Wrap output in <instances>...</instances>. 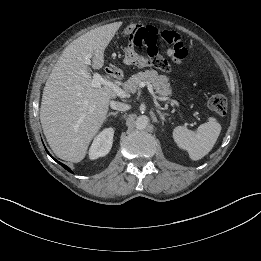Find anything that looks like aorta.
Returning <instances> with one entry per match:
<instances>
[{
    "label": "aorta",
    "instance_id": "762f6f07",
    "mask_svg": "<svg viewBox=\"0 0 261 261\" xmlns=\"http://www.w3.org/2000/svg\"><path fill=\"white\" fill-rule=\"evenodd\" d=\"M135 124H136L137 129L143 130V129L147 128V126L149 124V118L146 115L138 116L136 118Z\"/></svg>",
    "mask_w": 261,
    "mask_h": 261
}]
</instances>
